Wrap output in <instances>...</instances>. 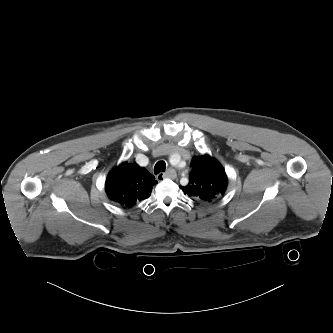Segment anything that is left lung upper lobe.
I'll return each mask as SVG.
<instances>
[{
  "label": "left lung upper lobe",
  "mask_w": 333,
  "mask_h": 333,
  "mask_svg": "<svg viewBox=\"0 0 333 333\" xmlns=\"http://www.w3.org/2000/svg\"><path fill=\"white\" fill-rule=\"evenodd\" d=\"M188 185L180 186L189 197L206 202L221 198L227 188L228 178L222 165L209 155L192 159Z\"/></svg>",
  "instance_id": "left-lung-upper-lobe-1"
}]
</instances>
